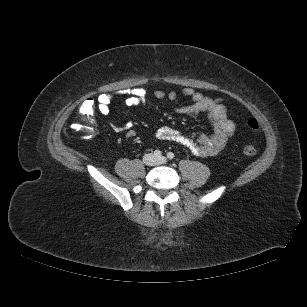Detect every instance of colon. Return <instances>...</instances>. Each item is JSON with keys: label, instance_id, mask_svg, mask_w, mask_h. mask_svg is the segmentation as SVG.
Listing matches in <instances>:
<instances>
[{"label": "colon", "instance_id": "colon-1", "mask_svg": "<svg viewBox=\"0 0 307 307\" xmlns=\"http://www.w3.org/2000/svg\"><path fill=\"white\" fill-rule=\"evenodd\" d=\"M95 111L96 102L92 98L85 100L79 109L81 122L75 123L73 128L78 131H83L88 137H92L95 134V127L92 121ZM247 126L255 132L260 129L258 121L254 118L248 120ZM242 152L244 155L252 157L257 154V149L252 145H245L242 148Z\"/></svg>", "mask_w": 307, "mask_h": 307}]
</instances>
